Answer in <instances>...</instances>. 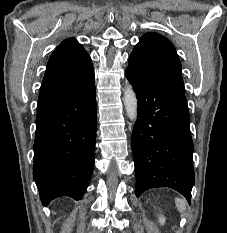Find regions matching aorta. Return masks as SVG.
I'll list each match as a JSON object with an SVG mask.
<instances>
[{
	"label": "aorta",
	"instance_id": "762f6f07",
	"mask_svg": "<svg viewBox=\"0 0 227 233\" xmlns=\"http://www.w3.org/2000/svg\"><path fill=\"white\" fill-rule=\"evenodd\" d=\"M124 105L129 119L131 121H136L138 116V101L131 85H127L124 89Z\"/></svg>",
	"mask_w": 227,
	"mask_h": 233
}]
</instances>
